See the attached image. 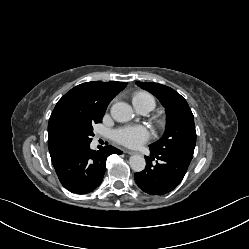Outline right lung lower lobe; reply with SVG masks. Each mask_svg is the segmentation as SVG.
<instances>
[{
  "instance_id": "98d812e1",
  "label": "right lung lower lobe",
  "mask_w": 249,
  "mask_h": 249,
  "mask_svg": "<svg viewBox=\"0 0 249 249\" xmlns=\"http://www.w3.org/2000/svg\"><path fill=\"white\" fill-rule=\"evenodd\" d=\"M122 151L107 145L102 150L90 149V144L72 151L58 165L54 166L62 185L76 194H86L97 188L105 173L106 159Z\"/></svg>"
}]
</instances>
